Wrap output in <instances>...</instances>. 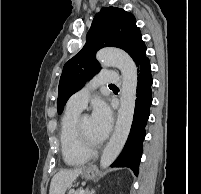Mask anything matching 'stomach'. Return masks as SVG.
Here are the masks:
<instances>
[{"mask_svg":"<svg viewBox=\"0 0 201 194\" xmlns=\"http://www.w3.org/2000/svg\"><path fill=\"white\" fill-rule=\"evenodd\" d=\"M81 175L84 179H87V180L94 179L97 175V169L94 165H88L84 167Z\"/></svg>","mask_w":201,"mask_h":194,"instance_id":"stomach-1","label":"stomach"}]
</instances>
